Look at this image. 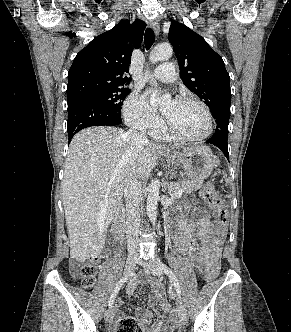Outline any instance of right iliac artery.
<instances>
[{
	"instance_id": "82829eb1",
	"label": "right iliac artery",
	"mask_w": 291,
	"mask_h": 332,
	"mask_svg": "<svg viewBox=\"0 0 291 332\" xmlns=\"http://www.w3.org/2000/svg\"><path fill=\"white\" fill-rule=\"evenodd\" d=\"M132 272L126 276H124L115 286L114 290H113V293L109 299V307L111 308L114 304V301H115V298H116V295L117 293L119 292L120 288L122 287V285L128 280V278L130 276H132Z\"/></svg>"
}]
</instances>
